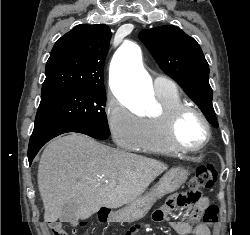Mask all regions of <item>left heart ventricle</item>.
Here are the masks:
<instances>
[{"instance_id": "obj_1", "label": "left heart ventricle", "mask_w": 250, "mask_h": 235, "mask_svg": "<svg viewBox=\"0 0 250 235\" xmlns=\"http://www.w3.org/2000/svg\"><path fill=\"white\" fill-rule=\"evenodd\" d=\"M177 135L183 145L196 147L205 137L204 124L196 114L188 113L181 118Z\"/></svg>"}]
</instances>
